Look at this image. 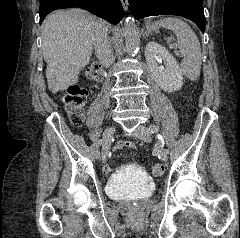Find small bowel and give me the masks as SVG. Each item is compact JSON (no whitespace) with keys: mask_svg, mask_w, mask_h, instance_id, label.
I'll return each instance as SVG.
<instances>
[{"mask_svg":"<svg viewBox=\"0 0 240 238\" xmlns=\"http://www.w3.org/2000/svg\"><path fill=\"white\" fill-rule=\"evenodd\" d=\"M127 147L128 148H138V143H128L127 144ZM115 151H122L123 150V143H116V146H115ZM111 164V163H110ZM110 164H103V175H109V171H110ZM112 171L114 170L113 168L111 169Z\"/></svg>","mask_w":240,"mask_h":238,"instance_id":"obj_1","label":"small bowel"}]
</instances>
